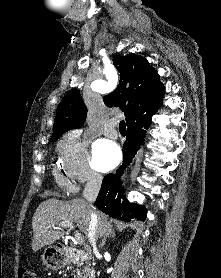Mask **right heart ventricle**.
Masks as SVG:
<instances>
[{
    "instance_id": "1",
    "label": "right heart ventricle",
    "mask_w": 221,
    "mask_h": 278,
    "mask_svg": "<svg viewBox=\"0 0 221 278\" xmlns=\"http://www.w3.org/2000/svg\"><path fill=\"white\" fill-rule=\"evenodd\" d=\"M55 175H56L58 182L61 185L65 186V187H72V183L69 180V178L65 177L62 173H60L59 171L56 170Z\"/></svg>"
}]
</instances>
